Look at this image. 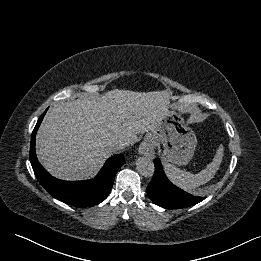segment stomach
Returning a JSON list of instances; mask_svg holds the SVG:
<instances>
[{
  "mask_svg": "<svg viewBox=\"0 0 261 261\" xmlns=\"http://www.w3.org/2000/svg\"><path fill=\"white\" fill-rule=\"evenodd\" d=\"M145 140L161 143L164 161L179 166L189 163L197 145L195 133L183 115L175 110L168 111L157 126L147 133Z\"/></svg>",
  "mask_w": 261,
  "mask_h": 261,
  "instance_id": "1",
  "label": "stomach"
}]
</instances>
